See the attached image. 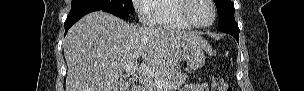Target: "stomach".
<instances>
[{
	"label": "stomach",
	"instance_id": "0dacf381",
	"mask_svg": "<svg viewBox=\"0 0 304 91\" xmlns=\"http://www.w3.org/2000/svg\"><path fill=\"white\" fill-rule=\"evenodd\" d=\"M205 52L210 53L211 49H207L200 45H194L186 50L182 59L186 62L189 71H195L202 68L205 63Z\"/></svg>",
	"mask_w": 304,
	"mask_h": 91
}]
</instances>
